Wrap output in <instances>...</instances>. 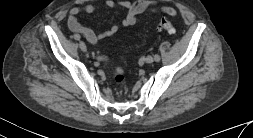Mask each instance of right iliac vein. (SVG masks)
<instances>
[{
  "instance_id": "right-iliac-vein-1",
  "label": "right iliac vein",
  "mask_w": 253,
  "mask_h": 138,
  "mask_svg": "<svg viewBox=\"0 0 253 138\" xmlns=\"http://www.w3.org/2000/svg\"><path fill=\"white\" fill-rule=\"evenodd\" d=\"M79 46H80V49L83 51V52H86V45H85V43L83 42V41H80V43H79Z\"/></svg>"
}]
</instances>
